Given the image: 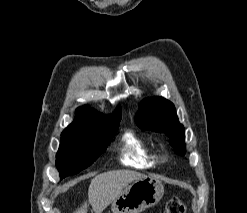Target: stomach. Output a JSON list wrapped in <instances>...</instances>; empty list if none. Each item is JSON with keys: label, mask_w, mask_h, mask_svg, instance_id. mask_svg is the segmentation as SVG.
I'll return each mask as SVG.
<instances>
[{"label": "stomach", "mask_w": 247, "mask_h": 213, "mask_svg": "<svg viewBox=\"0 0 247 213\" xmlns=\"http://www.w3.org/2000/svg\"><path fill=\"white\" fill-rule=\"evenodd\" d=\"M164 194L163 184L156 178L144 177L127 185L112 202V213H141L156 205Z\"/></svg>", "instance_id": "1"}]
</instances>
